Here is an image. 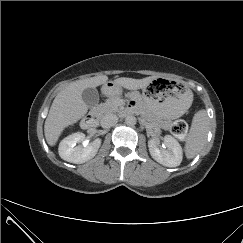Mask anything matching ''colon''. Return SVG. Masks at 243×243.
Wrapping results in <instances>:
<instances>
[{"instance_id":"colon-1","label":"colon","mask_w":243,"mask_h":243,"mask_svg":"<svg viewBox=\"0 0 243 243\" xmlns=\"http://www.w3.org/2000/svg\"><path fill=\"white\" fill-rule=\"evenodd\" d=\"M171 132L179 138H184L188 132V125L182 119L175 120L171 125Z\"/></svg>"}]
</instances>
